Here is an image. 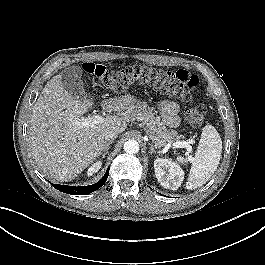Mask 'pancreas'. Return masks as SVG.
Returning <instances> with one entry per match:
<instances>
[{"instance_id": "obj_1", "label": "pancreas", "mask_w": 265, "mask_h": 265, "mask_svg": "<svg viewBox=\"0 0 265 265\" xmlns=\"http://www.w3.org/2000/svg\"><path fill=\"white\" fill-rule=\"evenodd\" d=\"M124 118L128 121L136 119L142 121L145 125V131L152 141L158 146L163 147L167 143L179 140L182 136L177 135L175 130H169L160 121V117L156 115V111L149 107L145 102H138L132 105L125 113Z\"/></svg>"}]
</instances>
